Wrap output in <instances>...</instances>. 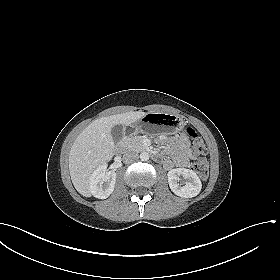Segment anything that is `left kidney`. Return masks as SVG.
<instances>
[{
  "label": "left kidney",
  "instance_id": "5707ae66",
  "mask_svg": "<svg viewBox=\"0 0 280 280\" xmlns=\"http://www.w3.org/2000/svg\"><path fill=\"white\" fill-rule=\"evenodd\" d=\"M168 183L172 192L183 198H192L197 196L202 188V183L198 175L186 168H176L168 172ZM183 177L185 185L179 183L180 177Z\"/></svg>",
  "mask_w": 280,
  "mask_h": 280
}]
</instances>
